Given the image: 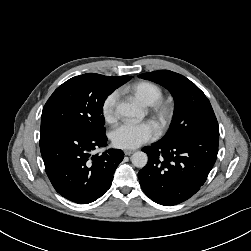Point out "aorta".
I'll use <instances>...</instances> for the list:
<instances>
[{
  "instance_id": "1",
  "label": "aorta",
  "mask_w": 251,
  "mask_h": 251,
  "mask_svg": "<svg viewBox=\"0 0 251 251\" xmlns=\"http://www.w3.org/2000/svg\"><path fill=\"white\" fill-rule=\"evenodd\" d=\"M116 112L123 117L133 118L138 117L141 114L140 109L131 103L120 102L116 106ZM132 164L137 168H143L147 165L148 156L145 152L137 151L131 156Z\"/></svg>"
}]
</instances>
